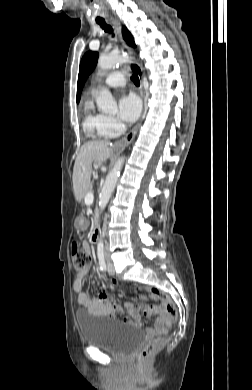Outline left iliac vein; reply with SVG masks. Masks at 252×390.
<instances>
[{
    "label": "left iliac vein",
    "instance_id": "1",
    "mask_svg": "<svg viewBox=\"0 0 252 390\" xmlns=\"http://www.w3.org/2000/svg\"><path fill=\"white\" fill-rule=\"evenodd\" d=\"M107 270H108V273L110 275H114L115 274L114 265H113V263L110 260L107 261Z\"/></svg>",
    "mask_w": 252,
    "mask_h": 390
}]
</instances>
